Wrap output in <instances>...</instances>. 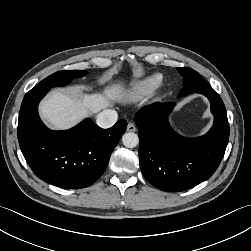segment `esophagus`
<instances>
[{
    "label": "esophagus",
    "mask_w": 251,
    "mask_h": 251,
    "mask_svg": "<svg viewBox=\"0 0 251 251\" xmlns=\"http://www.w3.org/2000/svg\"><path fill=\"white\" fill-rule=\"evenodd\" d=\"M136 129H137V128H136V126H135L134 123H132V122L128 123L127 131H129V132H135Z\"/></svg>",
    "instance_id": "34e87169"
}]
</instances>
